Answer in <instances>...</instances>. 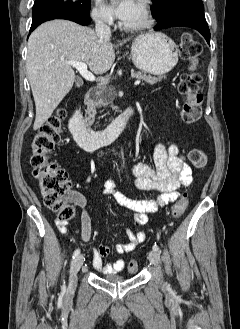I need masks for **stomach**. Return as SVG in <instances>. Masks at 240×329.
Wrapping results in <instances>:
<instances>
[{
  "mask_svg": "<svg viewBox=\"0 0 240 329\" xmlns=\"http://www.w3.org/2000/svg\"><path fill=\"white\" fill-rule=\"evenodd\" d=\"M131 59L141 71L163 75L178 62L175 42L163 33H147L135 38L131 46Z\"/></svg>",
  "mask_w": 240,
  "mask_h": 329,
  "instance_id": "obj_1",
  "label": "stomach"
}]
</instances>
